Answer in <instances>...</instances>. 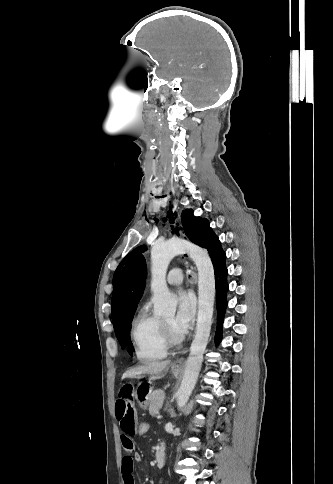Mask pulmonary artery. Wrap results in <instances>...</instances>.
I'll list each match as a JSON object with an SVG mask.
<instances>
[{
	"label": "pulmonary artery",
	"instance_id": "e3ab8cb5",
	"mask_svg": "<svg viewBox=\"0 0 333 484\" xmlns=\"http://www.w3.org/2000/svg\"><path fill=\"white\" fill-rule=\"evenodd\" d=\"M183 280L181 269L174 268L167 275V282L170 285H179Z\"/></svg>",
	"mask_w": 333,
	"mask_h": 484
}]
</instances>
